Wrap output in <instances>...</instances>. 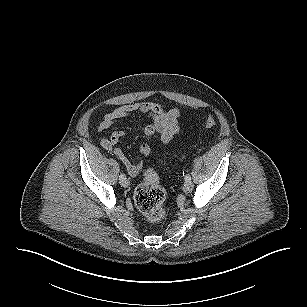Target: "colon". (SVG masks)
Instances as JSON below:
<instances>
[{
  "mask_svg": "<svg viewBox=\"0 0 307 307\" xmlns=\"http://www.w3.org/2000/svg\"><path fill=\"white\" fill-rule=\"evenodd\" d=\"M216 121L213 116L205 120V127L211 129ZM166 192L160 184L157 172L149 168L145 171L143 182L136 188L134 202L138 210L150 223H160L167 216V209L164 205Z\"/></svg>",
  "mask_w": 307,
  "mask_h": 307,
  "instance_id": "1",
  "label": "colon"
}]
</instances>
